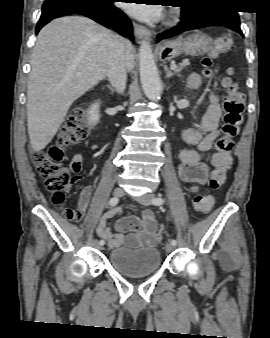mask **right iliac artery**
<instances>
[{"label": "right iliac artery", "mask_w": 270, "mask_h": 338, "mask_svg": "<svg viewBox=\"0 0 270 338\" xmlns=\"http://www.w3.org/2000/svg\"><path fill=\"white\" fill-rule=\"evenodd\" d=\"M118 198L117 197H112L110 200H109V204L111 205V206H115L117 203H118ZM99 244L101 245V246H103L104 244H105V241L104 240H100L99 241Z\"/></svg>", "instance_id": "right-iliac-artery-1"}]
</instances>
